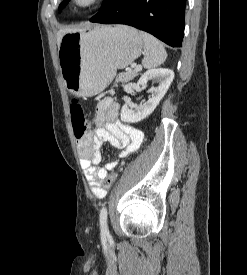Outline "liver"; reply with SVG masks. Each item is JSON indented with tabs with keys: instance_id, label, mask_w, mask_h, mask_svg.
<instances>
[{
	"instance_id": "6515ba94",
	"label": "liver",
	"mask_w": 247,
	"mask_h": 275,
	"mask_svg": "<svg viewBox=\"0 0 247 275\" xmlns=\"http://www.w3.org/2000/svg\"><path fill=\"white\" fill-rule=\"evenodd\" d=\"M74 31H79V30H73V29H61L59 30V32L57 33V44L58 47L60 45L61 39L63 37L64 34L69 33V32H74Z\"/></svg>"
}]
</instances>
